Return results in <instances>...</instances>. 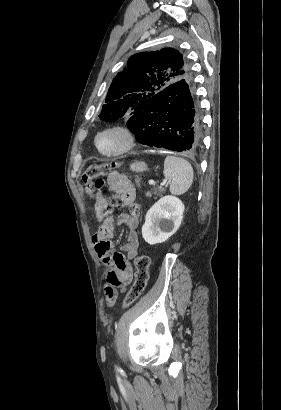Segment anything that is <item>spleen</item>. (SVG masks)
Here are the masks:
<instances>
[{"instance_id":"3e777b00","label":"spleen","mask_w":281,"mask_h":410,"mask_svg":"<svg viewBox=\"0 0 281 410\" xmlns=\"http://www.w3.org/2000/svg\"><path fill=\"white\" fill-rule=\"evenodd\" d=\"M164 177L170 183V193L181 195L188 191L193 182V168L183 158L167 156L164 160Z\"/></svg>"}]
</instances>
